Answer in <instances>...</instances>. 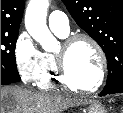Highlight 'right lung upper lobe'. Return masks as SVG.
Here are the masks:
<instances>
[{"label": "right lung upper lobe", "instance_id": "obj_1", "mask_svg": "<svg viewBox=\"0 0 123 113\" xmlns=\"http://www.w3.org/2000/svg\"><path fill=\"white\" fill-rule=\"evenodd\" d=\"M24 0H1V33L19 32Z\"/></svg>", "mask_w": 123, "mask_h": 113}]
</instances>
